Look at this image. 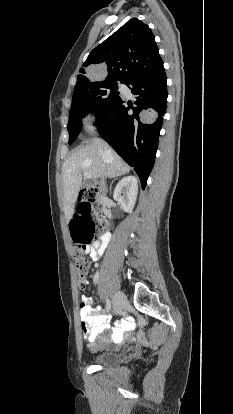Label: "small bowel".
Returning <instances> with one entry per match:
<instances>
[{"label":"small bowel","instance_id":"1","mask_svg":"<svg viewBox=\"0 0 233 414\" xmlns=\"http://www.w3.org/2000/svg\"><path fill=\"white\" fill-rule=\"evenodd\" d=\"M109 241V234L104 233L98 241L89 245L86 248V253L90 256L94 262L104 254ZM84 276L83 274L81 275ZM85 279V286H92L91 277H83ZM84 295L83 293L81 294ZM80 320L83 332L84 340L90 345L91 348L95 349L96 341L100 335L110 330V339L115 344H121L127 339V333L134 328V324L131 320L125 319L120 322L116 327L110 328L109 320L110 316L102 311L101 306L95 305L91 297L83 296L81 298L80 305Z\"/></svg>","mask_w":233,"mask_h":414}]
</instances>
